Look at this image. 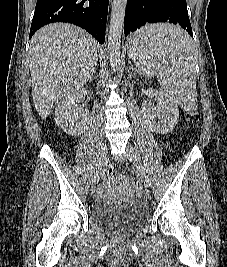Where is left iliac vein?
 <instances>
[{
    "mask_svg": "<svg viewBox=\"0 0 227 267\" xmlns=\"http://www.w3.org/2000/svg\"><path fill=\"white\" fill-rule=\"evenodd\" d=\"M125 156L128 158V160L135 167L137 174H138L140 180L145 185V187H147V188L150 187V185H151L150 179H149L148 175L146 174V170H145V168L142 164V161H141L140 157L138 156L137 152L132 147H129L128 153Z\"/></svg>",
    "mask_w": 227,
    "mask_h": 267,
    "instance_id": "1",
    "label": "left iliac vein"
}]
</instances>
